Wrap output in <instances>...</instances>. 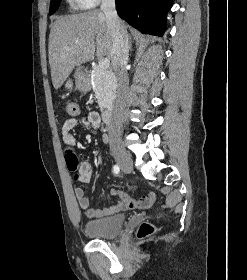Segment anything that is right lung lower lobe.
Instances as JSON below:
<instances>
[{"label": "right lung lower lobe", "mask_w": 247, "mask_h": 280, "mask_svg": "<svg viewBox=\"0 0 247 280\" xmlns=\"http://www.w3.org/2000/svg\"><path fill=\"white\" fill-rule=\"evenodd\" d=\"M119 16L142 33L162 36L172 0H115Z\"/></svg>", "instance_id": "right-lung-lower-lobe-1"}]
</instances>
